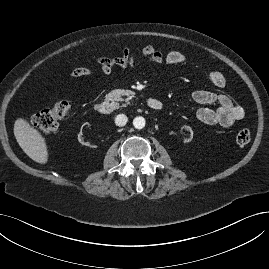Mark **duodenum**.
<instances>
[{"mask_svg":"<svg viewBox=\"0 0 269 269\" xmlns=\"http://www.w3.org/2000/svg\"><path fill=\"white\" fill-rule=\"evenodd\" d=\"M146 104L147 107L154 112H159L163 108V103L155 98L147 99ZM94 109L98 114L102 115H109L114 112L113 104L106 100H102L96 103Z\"/></svg>","mask_w":269,"mask_h":269,"instance_id":"duodenum-1","label":"duodenum"}]
</instances>
